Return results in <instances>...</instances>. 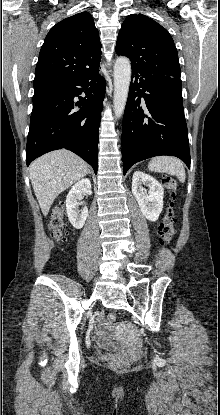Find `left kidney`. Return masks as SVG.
<instances>
[{
	"mask_svg": "<svg viewBox=\"0 0 220 415\" xmlns=\"http://www.w3.org/2000/svg\"><path fill=\"white\" fill-rule=\"evenodd\" d=\"M142 184L148 186V195ZM132 193L136 198L142 214L149 221H156L163 209L164 189L152 176L136 171L132 178Z\"/></svg>",
	"mask_w": 220,
	"mask_h": 415,
	"instance_id": "5707ae66",
	"label": "left kidney"
}]
</instances>
